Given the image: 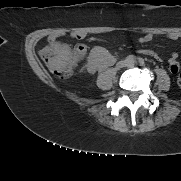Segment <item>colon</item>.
<instances>
[{
	"mask_svg": "<svg viewBox=\"0 0 181 181\" xmlns=\"http://www.w3.org/2000/svg\"><path fill=\"white\" fill-rule=\"evenodd\" d=\"M84 52L85 47L82 45L76 46L73 50L50 46L43 49L40 56L52 73L61 79H67L73 74L79 55ZM177 83L181 88V73L178 75Z\"/></svg>",
	"mask_w": 181,
	"mask_h": 181,
	"instance_id": "colon-1",
	"label": "colon"
}]
</instances>
